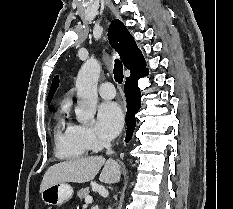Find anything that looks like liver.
<instances>
[{
    "instance_id": "liver-1",
    "label": "liver",
    "mask_w": 233,
    "mask_h": 209,
    "mask_svg": "<svg viewBox=\"0 0 233 209\" xmlns=\"http://www.w3.org/2000/svg\"><path fill=\"white\" fill-rule=\"evenodd\" d=\"M103 166L99 180L111 184L120 181L121 170L118 162L101 156L76 158L52 165L47 169L40 185V193L47 187L61 183H85L94 179Z\"/></svg>"
}]
</instances>
